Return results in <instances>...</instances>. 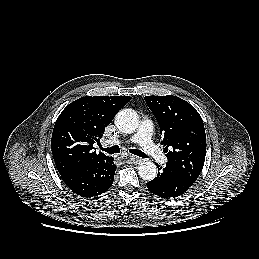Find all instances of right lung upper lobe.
Here are the masks:
<instances>
[{
  "instance_id": "cb5924a9",
  "label": "right lung upper lobe",
  "mask_w": 259,
  "mask_h": 259,
  "mask_svg": "<svg viewBox=\"0 0 259 259\" xmlns=\"http://www.w3.org/2000/svg\"><path fill=\"white\" fill-rule=\"evenodd\" d=\"M129 100L130 96H85L61 112L51 138L53 159L60 175L109 158L101 152L97 154L93 144L100 142L105 127Z\"/></svg>"
}]
</instances>
